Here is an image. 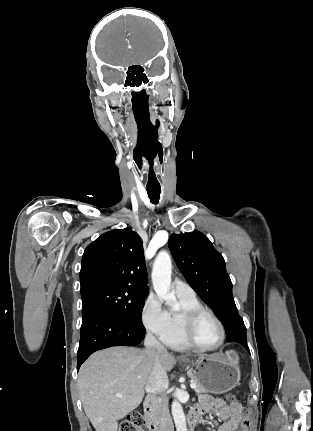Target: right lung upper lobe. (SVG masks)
<instances>
[{
	"label": "right lung upper lobe",
	"mask_w": 313,
	"mask_h": 431,
	"mask_svg": "<svg viewBox=\"0 0 313 431\" xmlns=\"http://www.w3.org/2000/svg\"><path fill=\"white\" fill-rule=\"evenodd\" d=\"M140 236L129 228L99 236L84 251L80 271L81 296L119 286L148 292Z\"/></svg>",
	"instance_id": "right-lung-upper-lobe-1"
}]
</instances>
